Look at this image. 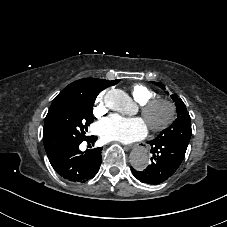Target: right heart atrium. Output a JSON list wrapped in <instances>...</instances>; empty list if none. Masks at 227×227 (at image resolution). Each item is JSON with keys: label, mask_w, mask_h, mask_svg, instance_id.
<instances>
[{"label": "right heart atrium", "mask_w": 227, "mask_h": 227, "mask_svg": "<svg viewBox=\"0 0 227 227\" xmlns=\"http://www.w3.org/2000/svg\"><path fill=\"white\" fill-rule=\"evenodd\" d=\"M102 99V95L99 96V100Z\"/></svg>", "instance_id": "d8ad5b80"}]
</instances>
